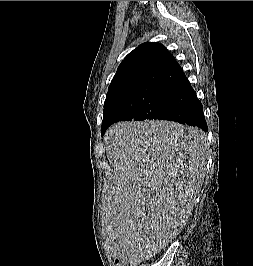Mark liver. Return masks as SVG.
Segmentation results:
<instances>
[{"label": "liver", "instance_id": "liver-1", "mask_svg": "<svg viewBox=\"0 0 253 266\" xmlns=\"http://www.w3.org/2000/svg\"><path fill=\"white\" fill-rule=\"evenodd\" d=\"M112 164L104 233L113 255L138 264L181 232L205 177L207 136L170 121H124L105 133Z\"/></svg>", "mask_w": 253, "mask_h": 266}]
</instances>
